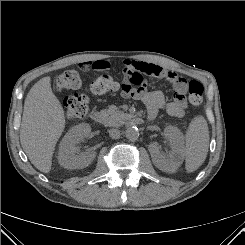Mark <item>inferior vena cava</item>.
I'll return each instance as SVG.
<instances>
[{"mask_svg": "<svg viewBox=\"0 0 245 245\" xmlns=\"http://www.w3.org/2000/svg\"><path fill=\"white\" fill-rule=\"evenodd\" d=\"M108 132L112 139H118L120 137V130L116 128L109 129Z\"/></svg>", "mask_w": 245, "mask_h": 245, "instance_id": "obj_1", "label": "inferior vena cava"}]
</instances>
